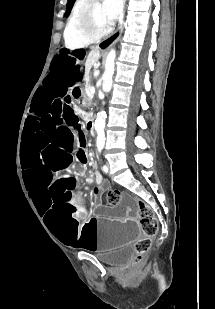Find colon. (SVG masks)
<instances>
[{
	"label": "colon",
	"mask_w": 215,
	"mask_h": 309,
	"mask_svg": "<svg viewBox=\"0 0 215 309\" xmlns=\"http://www.w3.org/2000/svg\"><path fill=\"white\" fill-rule=\"evenodd\" d=\"M119 192L111 190L107 194V202L111 205H117L119 202ZM140 216L142 219L143 237L136 241L134 245L135 257L142 258L149 250L152 237L157 233L158 226L149 207L140 208Z\"/></svg>",
	"instance_id": "colon-1"
}]
</instances>
